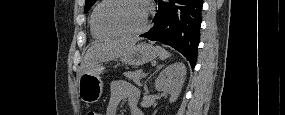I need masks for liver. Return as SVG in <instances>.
I'll return each instance as SVG.
<instances>
[{
	"label": "liver",
	"mask_w": 285,
	"mask_h": 115,
	"mask_svg": "<svg viewBox=\"0 0 285 115\" xmlns=\"http://www.w3.org/2000/svg\"><path fill=\"white\" fill-rule=\"evenodd\" d=\"M138 40V38H121L95 43L87 50L81 62V75L97 64L123 56Z\"/></svg>",
	"instance_id": "liver-1"
}]
</instances>
